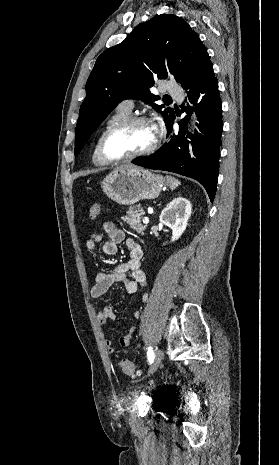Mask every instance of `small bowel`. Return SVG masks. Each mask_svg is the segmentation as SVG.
<instances>
[{"label":"small bowel","instance_id":"c3829d8e","mask_svg":"<svg viewBox=\"0 0 279 465\" xmlns=\"http://www.w3.org/2000/svg\"><path fill=\"white\" fill-rule=\"evenodd\" d=\"M102 229V232L91 234L86 242L87 249L94 252L97 244L103 239V236H106V240L102 245L103 252L107 255H115L118 251V245L125 241L129 250V259L115 266L109 272L98 273L91 288V296L94 298L103 296L117 282H122L125 290L130 294L137 293L140 288H146L147 279L141 267L143 251L139 243L133 239H126L124 232L112 222H105ZM143 300L145 301L146 297ZM135 317H139L138 312L135 313ZM114 319L115 313L113 307L110 305L97 313V320L101 326L107 325L109 321ZM135 331L136 327L131 326L127 333L120 338V345L122 347L130 346ZM105 345L110 354L115 353L116 348L110 339H105Z\"/></svg>","mask_w":279,"mask_h":465}]
</instances>
